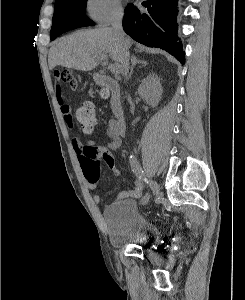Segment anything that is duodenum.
Wrapping results in <instances>:
<instances>
[{
  "label": "duodenum",
  "instance_id": "duodenum-1",
  "mask_svg": "<svg viewBox=\"0 0 245 300\" xmlns=\"http://www.w3.org/2000/svg\"><path fill=\"white\" fill-rule=\"evenodd\" d=\"M97 83L110 91L111 93V111L115 119L122 125L125 126V112L122 105L120 87L117 81L109 75L98 74L96 77Z\"/></svg>",
  "mask_w": 245,
  "mask_h": 300
}]
</instances>
